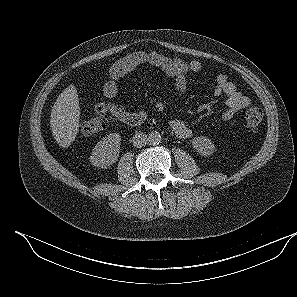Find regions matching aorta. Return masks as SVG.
<instances>
[{
	"mask_svg": "<svg viewBox=\"0 0 297 297\" xmlns=\"http://www.w3.org/2000/svg\"><path fill=\"white\" fill-rule=\"evenodd\" d=\"M161 135L158 131H151L148 136V141L152 145L159 144L161 142Z\"/></svg>",
	"mask_w": 297,
	"mask_h": 297,
	"instance_id": "1",
	"label": "aorta"
}]
</instances>
